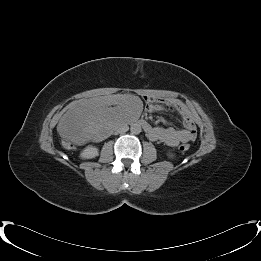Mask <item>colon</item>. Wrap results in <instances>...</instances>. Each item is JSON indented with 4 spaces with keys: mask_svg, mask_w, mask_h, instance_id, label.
Here are the masks:
<instances>
[{
    "mask_svg": "<svg viewBox=\"0 0 261 261\" xmlns=\"http://www.w3.org/2000/svg\"><path fill=\"white\" fill-rule=\"evenodd\" d=\"M189 148H190V145L188 143H181L179 146V150L181 152H186L189 150Z\"/></svg>",
    "mask_w": 261,
    "mask_h": 261,
    "instance_id": "obj_1",
    "label": "colon"
}]
</instances>
